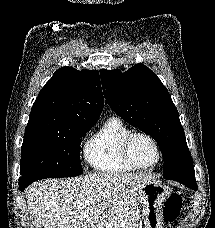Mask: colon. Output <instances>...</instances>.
<instances>
[{"label": "colon", "mask_w": 215, "mask_h": 228, "mask_svg": "<svg viewBox=\"0 0 215 228\" xmlns=\"http://www.w3.org/2000/svg\"><path fill=\"white\" fill-rule=\"evenodd\" d=\"M182 207V199L176 192L170 194L163 206V219L166 222H174Z\"/></svg>", "instance_id": "obj_1"}]
</instances>
